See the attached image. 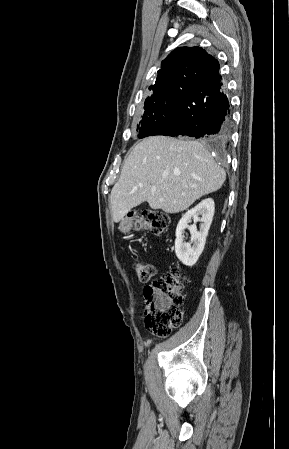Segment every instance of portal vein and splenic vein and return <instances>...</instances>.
I'll return each instance as SVG.
<instances>
[{"label": "portal vein and splenic vein", "instance_id": "obj_1", "mask_svg": "<svg viewBox=\"0 0 289 449\" xmlns=\"http://www.w3.org/2000/svg\"><path fill=\"white\" fill-rule=\"evenodd\" d=\"M151 191H152V192L156 191V187H155V186H152V187H151Z\"/></svg>", "mask_w": 289, "mask_h": 449}]
</instances>
